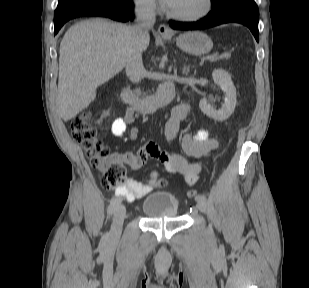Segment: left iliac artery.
Returning a JSON list of instances; mask_svg holds the SVG:
<instances>
[{
	"label": "left iliac artery",
	"instance_id": "obj_1",
	"mask_svg": "<svg viewBox=\"0 0 309 288\" xmlns=\"http://www.w3.org/2000/svg\"><path fill=\"white\" fill-rule=\"evenodd\" d=\"M200 200H206V197L204 195L197 196L196 201H200Z\"/></svg>",
	"mask_w": 309,
	"mask_h": 288
}]
</instances>
